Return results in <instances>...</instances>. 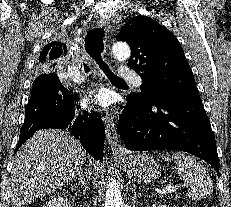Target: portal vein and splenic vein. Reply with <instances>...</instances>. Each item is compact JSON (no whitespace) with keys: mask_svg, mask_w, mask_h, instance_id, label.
<instances>
[{"mask_svg":"<svg viewBox=\"0 0 231 207\" xmlns=\"http://www.w3.org/2000/svg\"><path fill=\"white\" fill-rule=\"evenodd\" d=\"M165 190L168 192V193H171V192H174L176 190V187L175 186H171V185H168Z\"/></svg>","mask_w":231,"mask_h":207,"instance_id":"portal-vein-and-splenic-vein-1","label":"portal vein and splenic vein"}]
</instances>
